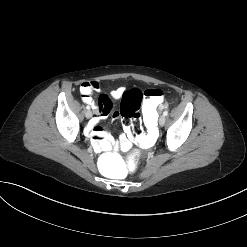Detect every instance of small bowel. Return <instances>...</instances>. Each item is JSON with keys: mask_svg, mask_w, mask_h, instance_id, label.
<instances>
[{"mask_svg": "<svg viewBox=\"0 0 247 247\" xmlns=\"http://www.w3.org/2000/svg\"><path fill=\"white\" fill-rule=\"evenodd\" d=\"M99 89L100 85L96 81L85 82L80 88L83 102L90 105L95 110L94 118L86 130L87 135L91 138L92 145L96 151H109L118 148L127 150L131 146V138L126 127V134L121 135L119 141L115 142L106 131L98 126L99 121L107 117L112 109V102L106 94H101L97 102L92 98V93ZM123 94L124 89L117 88L111 92V97L119 99ZM118 116V112L114 113V117Z\"/></svg>", "mask_w": 247, "mask_h": 247, "instance_id": "1", "label": "small bowel"}]
</instances>
